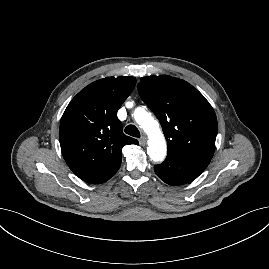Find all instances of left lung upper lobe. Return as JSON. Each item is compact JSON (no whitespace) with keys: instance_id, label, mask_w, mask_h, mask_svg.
Returning <instances> with one entry per match:
<instances>
[{"instance_id":"left-lung-upper-lobe-1","label":"left lung upper lobe","mask_w":269,"mask_h":269,"mask_svg":"<svg viewBox=\"0 0 269 269\" xmlns=\"http://www.w3.org/2000/svg\"><path fill=\"white\" fill-rule=\"evenodd\" d=\"M138 92L159 119L168 152L212 158L218 131L215 112L188 82L167 76L141 78Z\"/></svg>"}]
</instances>
